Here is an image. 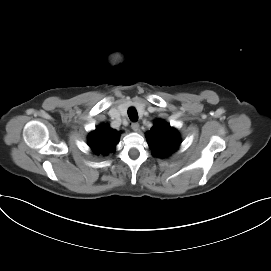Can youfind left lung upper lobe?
Here are the masks:
<instances>
[{
	"label": "left lung upper lobe",
	"mask_w": 271,
	"mask_h": 271,
	"mask_svg": "<svg viewBox=\"0 0 271 271\" xmlns=\"http://www.w3.org/2000/svg\"><path fill=\"white\" fill-rule=\"evenodd\" d=\"M146 137L150 148L153 149L152 154L157 157L169 156L181 143L177 130L162 120L155 122Z\"/></svg>",
	"instance_id": "5c2ea615"
}]
</instances>
